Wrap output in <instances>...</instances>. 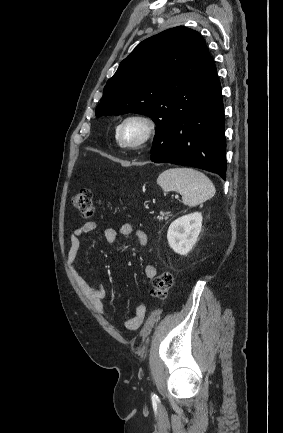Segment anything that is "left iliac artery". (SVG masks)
I'll return each instance as SVG.
<instances>
[{"mask_svg": "<svg viewBox=\"0 0 283 433\" xmlns=\"http://www.w3.org/2000/svg\"><path fill=\"white\" fill-rule=\"evenodd\" d=\"M157 398H158L157 395L152 394V399H157Z\"/></svg>", "mask_w": 283, "mask_h": 433, "instance_id": "44dca946", "label": "left iliac artery"}]
</instances>
